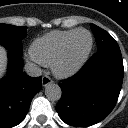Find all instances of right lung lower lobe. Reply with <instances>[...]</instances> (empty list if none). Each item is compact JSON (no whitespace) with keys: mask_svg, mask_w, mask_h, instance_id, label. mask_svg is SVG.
Masks as SVG:
<instances>
[{"mask_svg":"<svg viewBox=\"0 0 128 128\" xmlns=\"http://www.w3.org/2000/svg\"><path fill=\"white\" fill-rule=\"evenodd\" d=\"M23 59L8 53V71L0 82V128H11L23 121L35 94L42 88L41 77L23 73Z\"/></svg>","mask_w":128,"mask_h":128,"instance_id":"98d812e1","label":"right lung lower lobe"}]
</instances>
